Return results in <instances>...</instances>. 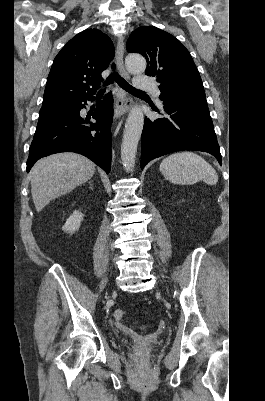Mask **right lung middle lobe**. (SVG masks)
<instances>
[{"label": "right lung middle lobe", "mask_w": 265, "mask_h": 401, "mask_svg": "<svg viewBox=\"0 0 265 401\" xmlns=\"http://www.w3.org/2000/svg\"><path fill=\"white\" fill-rule=\"evenodd\" d=\"M78 104L77 101L54 103L49 105H43L40 109L39 114H43L48 111H61V110H71Z\"/></svg>", "instance_id": "1"}]
</instances>
